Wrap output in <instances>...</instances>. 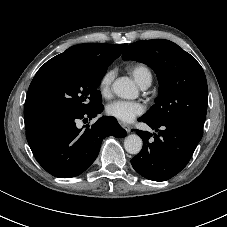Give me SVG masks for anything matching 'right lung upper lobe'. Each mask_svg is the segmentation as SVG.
<instances>
[{
	"label": "right lung upper lobe",
	"instance_id": "right-lung-upper-lobe-1",
	"mask_svg": "<svg viewBox=\"0 0 227 227\" xmlns=\"http://www.w3.org/2000/svg\"><path fill=\"white\" fill-rule=\"evenodd\" d=\"M126 46L127 44L119 45H111L104 43L78 44L70 47L65 52L53 57L48 62H46L42 67L53 61H72L85 63L88 65L101 66L106 64L112 58H118ZM31 93L32 82L28 90L24 107V120L26 128L32 126L38 120L43 118L35 111L33 107Z\"/></svg>",
	"mask_w": 227,
	"mask_h": 227
}]
</instances>
